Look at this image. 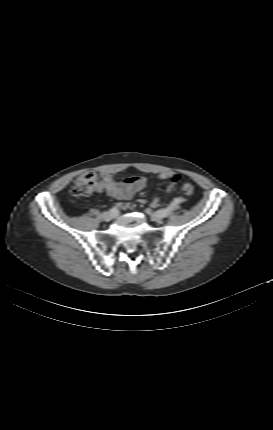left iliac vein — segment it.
Here are the masks:
<instances>
[{"instance_id": "left-iliac-vein-1", "label": "left iliac vein", "mask_w": 273, "mask_h": 430, "mask_svg": "<svg viewBox=\"0 0 273 430\" xmlns=\"http://www.w3.org/2000/svg\"><path fill=\"white\" fill-rule=\"evenodd\" d=\"M148 214L151 216L152 220L159 222L162 219V216L158 212H150Z\"/></svg>"}]
</instances>
